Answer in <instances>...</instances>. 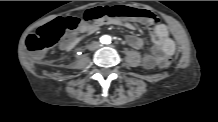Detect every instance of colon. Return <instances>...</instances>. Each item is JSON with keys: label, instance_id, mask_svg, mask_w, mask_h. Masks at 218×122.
I'll use <instances>...</instances> for the list:
<instances>
[{"label": "colon", "instance_id": "obj_1", "mask_svg": "<svg viewBox=\"0 0 218 122\" xmlns=\"http://www.w3.org/2000/svg\"><path fill=\"white\" fill-rule=\"evenodd\" d=\"M136 18V23L144 28H150L157 22L155 16L144 7L128 6L127 4L104 3L98 6H89L81 11V20L90 23L93 20L105 18ZM80 21L74 15H65L63 18L51 20L47 26L38 30L36 35H29L25 39V48L32 53L47 50L53 47L63 36L74 32ZM174 57L167 55L158 61L161 71L169 68Z\"/></svg>", "mask_w": 218, "mask_h": 122}]
</instances>
